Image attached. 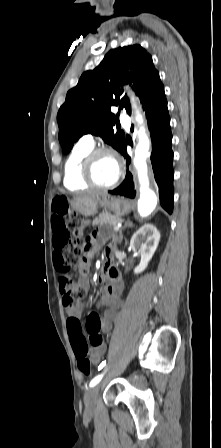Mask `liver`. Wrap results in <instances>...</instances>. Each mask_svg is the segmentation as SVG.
I'll use <instances>...</instances> for the list:
<instances>
[{
  "label": "liver",
  "mask_w": 221,
  "mask_h": 448,
  "mask_svg": "<svg viewBox=\"0 0 221 448\" xmlns=\"http://www.w3.org/2000/svg\"><path fill=\"white\" fill-rule=\"evenodd\" d=\"M106 193H89V194H85L82 196H79L75 199L76 203H85V202H89L91 200L96 199L99 196L105 195Z\"/></svg>",
  "instance_id": "obj_1"
}]
</instances>
